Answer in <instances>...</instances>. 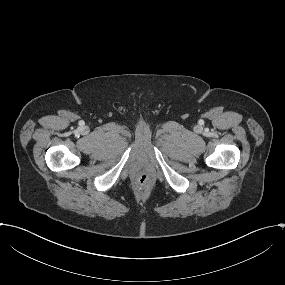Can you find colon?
<instances>
[{
  "label": "colon",
  "mask_w": 285,
  "mask_h": 285,
  "mask_svg": "<svg viewBox=\"0 0 285 285\" xmlns=\"http://www.w3.org/2000/svg\"><path fill=\"white\" fill-rule=\"evenodd\" d=\"M153 182L152 176L146 171L139 172L135 179V184L140 189L150 188L153 185Z\"/></svg>",
  "instance_id": "1"
}]
</instances>
